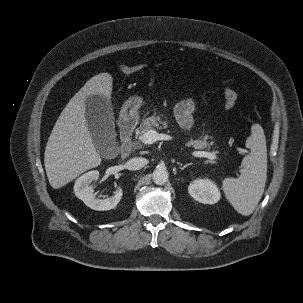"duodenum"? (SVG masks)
<instances>
[{"mask_svg": "<svg viewBox=\"0 0 303 303\" xmlns=\"http://www.w3.org/2000/svg\"><path fill=\"white\" fill-rule=\"evenodd\" d=\"M136 126V120L131 116H125L120 123L121 148L120 157L127 158L132 151V134Z\"/></svg>", "mask_w": 303, "mask_h": 303, "instance_id": "410a0bca", "label": "duodenum"}]
</instances>
